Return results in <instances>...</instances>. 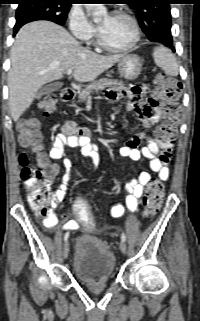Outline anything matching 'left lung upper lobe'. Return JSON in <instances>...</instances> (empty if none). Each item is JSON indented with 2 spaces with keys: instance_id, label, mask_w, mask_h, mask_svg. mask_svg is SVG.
I'll list each match as a JSON object with an SVG mask.
<instances>
[{
  "instance_id": "left-lung-upper-lobe-1",
  "label": "left lung upper lobe",
  "mask_w": 200,
  "mask_h": 321,
  "mask_svg": "<svg viewBox=\"0 0 200 321\" xmlns=\"http://www.w3.org/2000/svg\"><path fill=\"white\" fill-rule=\"evenodd\" d=\"M172 0H125L136 14L138 22L152 42L172 40L171 13Z\"/></svg>"
}]
</instances>
